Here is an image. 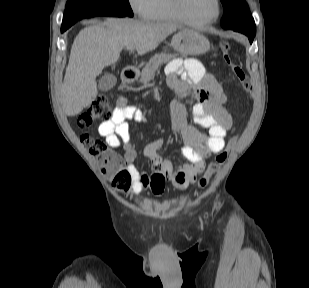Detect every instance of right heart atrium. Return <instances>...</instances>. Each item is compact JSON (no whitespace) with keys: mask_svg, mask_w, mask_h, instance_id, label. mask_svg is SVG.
Listing matches in <instances>:
<instances>
[{"mask_svg":"<svg viewBox=\"0 0 309 288\" xmlns=\"http://www.w3.org/2000/svg\"><path fill=\"white\" fill-rule=\"evenodd\" d=\"M129 6L132 11L142 17L146 18L148 15V8L151 4V0H128Z\"/></svg>","mask_w":309,"mask_h":288,"instance_id":"right-heart-atrium-1","label":"right heart atrium"}]
</instances>
